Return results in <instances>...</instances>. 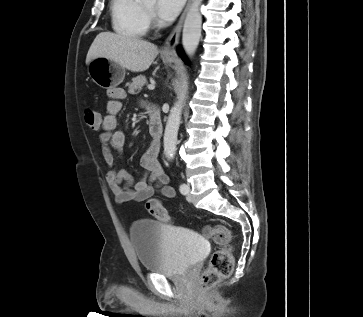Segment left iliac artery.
Masks as SVG:
<instances>
[{"mask_svg": "<svg viewBox=\"0 0 363 317\" xmlns=\"http://www.w3.org/2000/svg\"><path fill=\"white\" fill-rule=\"evenodd\" d=\"M179 190L182 194H187V186L186 184H181L180 187H179Z\"/></svg>", "mask_w": 363, "mask_h": 317, "instance_id": "obj_1", "label": "left iliac artery"}]
</instances>
